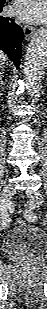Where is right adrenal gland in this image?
Masks as SVG:
<instances>
[{
  "mask_svg": "<svg viewBox=\"0 0 47 309\" xmlns=\"http://www.w3.org/2000/svg\"><path fill=\"white\" fill-rule=\"evenodd\" d=\"M4 74V72L3 71H1L0 72V84L1 85H5V82L3 81V79H2V75Z\"/></svg>",
  "mask_w": 47,
  "mask_h": 309,
  "instance_id": "1",
  "label": "right adrenal gland"
}]
</instances>
